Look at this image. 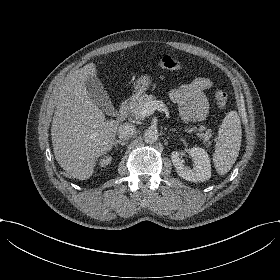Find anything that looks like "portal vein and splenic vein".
I'll return each mask as SVG.
<instances>
[{
    "label": "portal vein and splenic vein",
    "instance_id": "18ae733b",
    "mask_svg": "<svg viewBox=\"0 0 280 280\" xmlns=\"http://www.w3.org/2000/svg\"><path fill=\"white\" fill-rule=\"evenodd\" d=\"M165 106L163 104V102L159 101V100H154V101H150L148 103H146L142 109V112L147 115V114H152L155 112V110H164Z\"/></svg>",
    "mask_w": 280,
    "mask_h": 280
}]
</instances>
